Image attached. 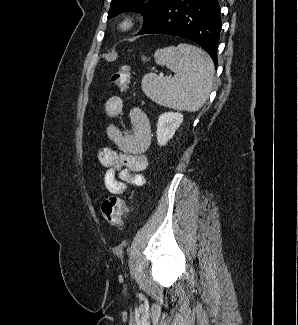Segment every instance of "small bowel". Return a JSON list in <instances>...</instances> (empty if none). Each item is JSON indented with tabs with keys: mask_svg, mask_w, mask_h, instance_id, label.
Masks as SVG:
<instances>
[{
	"mask_svg": "<svg viewBox=\"0 0 298 325\" xmlns=\"http://www.w3.org/2000/svg\"><path fill=\"white\" fill-rule=\"evenodd\" d=\"M107 117H118L123 110V100L119 96L110 97L104 106ZM132 130L110 123L107 137L117 150L104 147L99 151V161L106 167L102 178V188L111 194H122L129 185L143 186V171L148 166L146 152L151 144L152 132L149 119L143 110L133 108L130 111Z\"/></svg>",
	"mask_w": 298,
	"mask_h": 325,
	"instance_id": "obj_1",
	"label": "small bowel"
}]
</instances>
